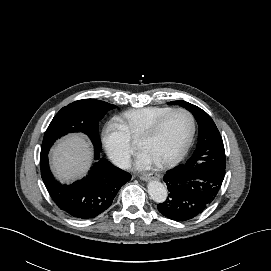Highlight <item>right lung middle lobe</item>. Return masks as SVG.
I'll return each mask as SVG.
<instances>
[{"label": "right lung middle lobe", "mask_w": 271, "mask_h": 271, "mask_svg": "<svg viewBox=\"0 0 271 271\" xmlns=\"http://www.w3.org/2000/svg\"><path fill=\"white\" fill-rule=\"evenodd\" d=\"M116 106L104 101L84 99L63 107L53 118L43 138L41 154L48 153L53 143L70 132H83L91 139L94 148L101 150L99 121Z\"/></svg>", "instance_id": "dd1d6c3e"}]
</instances>
